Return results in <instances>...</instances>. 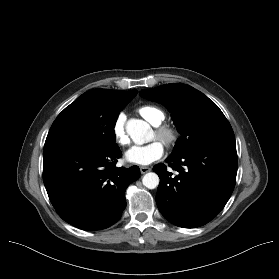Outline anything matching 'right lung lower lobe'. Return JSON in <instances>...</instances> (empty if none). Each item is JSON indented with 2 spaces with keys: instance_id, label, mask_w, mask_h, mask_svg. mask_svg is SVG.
I'll list each match as a JSON object with an SVG mask.
<instances>
[{
  "instance_id": "obj_1",
  "label": "right lung lower lobe",
  "mask_w": 279,
  "mask_h": 279,
  "mask_svg": "<svg viewBox=\"0 0 279 279\" xmlns=\"http://www.w3.org/2000/svg\"><path fill=\"white\" fill-rule=\"evenodd\" d=\"M117 146L99 151L63 146L43 153V181L58 215L83 230L116 223L126 207L125 190L140 176L137 166L116 167Z\"/></svg>"
}]
</instances>
